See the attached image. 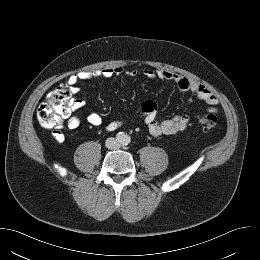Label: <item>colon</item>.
<instances>
[{
	"instance_id": "obj_1",
	"label": "colon",
	"mask_w": 260,
	"mask_h": 260,
	"mask_svg": "<svg viewBox=\"0 0 260 260\" xmlns=\"http://www.w3.org/2000/svg\"><path fill=\"white\" fill-rule=\"evenodd\" d=\"M73 100L69 85L66 83L57 85L37 109L36 116L39 124L47 129L59 127L68 114ZM196 123L202 130L210 131L215 128L217 117L214 113L199 114L196 116Z\"/></svg>"
}]
</instances>
